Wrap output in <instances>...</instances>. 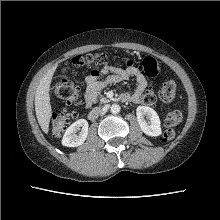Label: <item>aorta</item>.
I'll return each instance as SVG.
<instances>
[{
	"label": "aorta",
	"mask_w": 220,
	"mask_h": 220,
	"mask_svg": "<svg viewBox=\"0 0 220 220\" xmlns=\"http://www.w3.org/2000/svg\"><path fill=\"white\" fill-rule=\"evenodd\" d=\"M121 110L120 106L118 104H113L111 107H110V111L111 113L113 114H117L119 113Z\"/></svg>",
	"instance_id": "762f6f07"
}]
</instances>
